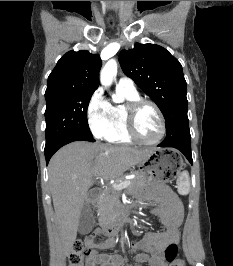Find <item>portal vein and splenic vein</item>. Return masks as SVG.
<instances>
[{"label":"portal vein and splenic vein","instance_id":"portal-vein-and-splenic-vein-1","mask_svg":"<svg viewBox=\"0 0 233 266\" xmlns=\"http://www.w3.org/2000/svg\"><path fill=\"white\" fill-rule=\"evenodd\" d=\"M130 185V181L129 180H125V181H122L118 184H114L112 185V188L115 189V190H121V189H124L126 187H128Z\"/></svg>","mask_w":233,"mask_h":266}]
</instances>
